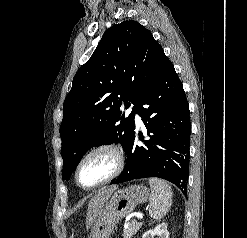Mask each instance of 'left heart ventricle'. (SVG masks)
<instances>
[{
	"label": "left heart ventricle",
	"mask_w": 247,
	"mask_h": 238,
	"mask_svg": "<svg viewBox=\"0 0 247 238\" xmlns=\"http://www.w3.org/2000/svg\"><path fill=\"white\" fill-rule=\"evenodd\" d=\"M115 167L113 157L108 153H98L90 157L79 171V180L83 185H93L109 176Z\"/></svg>",
	"instance_id": "b2bd125f"
}]
</instances>
